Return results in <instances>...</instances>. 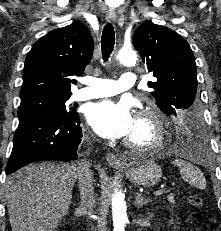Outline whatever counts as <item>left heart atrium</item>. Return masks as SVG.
Instances as JSON below:
<instances>
[{"instance_id": "obj_1", "label": "left heart atrium", "mask_w": 221, "mask_h": 231, "mask_svg": "<svg viewBox=\"0 0 221 231\" xmlns=\"http://www.w3.org/2000/svg\"><path fill=\"white\" fill-rule=\"evenodd\" d=\"M87 120L97 134L112 139L127 137L136 121L128 104L111 100L92 104Z\"/></svg>"}]
</instances>
